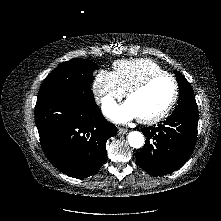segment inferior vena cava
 <instances>
[{
    "label": "inferior vena cava",
    "mask_w": 221,
    "mask_h": 221,
    "mask_svg": "<svg viewBox=\"0 0 221 221\" xmlns=\"http://www.w3.org/2000/svg\"><path fill=\"white\" fill-rule=\"evenodd\" d=\"M101 98H102L101 96H98V97H97V100H98V101H100V100H101Z\"/></svg>",
    "instance_id": "1"
}]
</instances>
